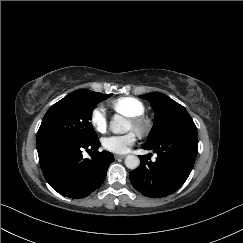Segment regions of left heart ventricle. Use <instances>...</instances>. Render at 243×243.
I'll return each instance as SVG.
<instances>
[{"mask_svg": "<svg viewBox=\"0 0 243 243\" xmlns=\"http://www.w3.org/2000/svg\"><path fill=\"white\" fill-rule=\"evenodd\" d=\"M134 127H133V124L129 121L128 122V129H133Z\"/></svg>", "mask_w": 243, "mask_h": 243, "instance_id": "obj_1", "label": "left heart ventricle"}]
</instances>
